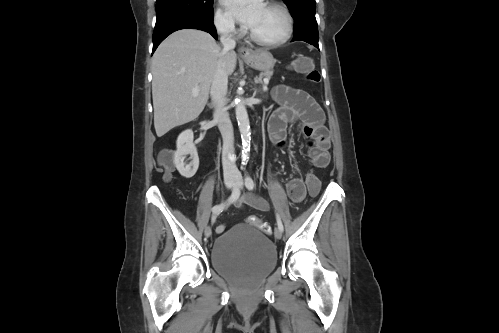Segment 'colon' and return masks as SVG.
<instances>
[{
    "label": "colon",
    "mask_w": 499,
    "mask_h": 333,
    "mask_svg": "<svg viewBox=\"0 0 499 333\" xmlns=\"http://www.w3.org/2000/svg\"><path fill=\"white\" fill-rule=\"evenodd\" d=\"M293 67L295 71L302 73L312 83H319L321 76L317 69H315L312 60L309 57H301L297 59ZM160 163L165 170V179L169 180L174 170L173 155L170 151H164L160 157ZM305 187L311 196H316L321 188V182L313 171H309L305 176ZM247 221L257 227L259 230L266 234L271 233V228L266 223L262 222L256 216H249Z\"/></svg>",
    "instance_id": "1"
}]
</instances>
